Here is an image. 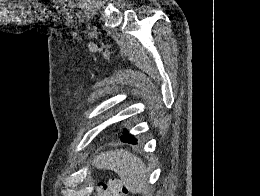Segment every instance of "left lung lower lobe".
Here are the masks:
<instances>
[{
    "instance_id": "left-lung-lower-lobe-1",
    "label": "left lung lower lobe",
    "mask_w": 260,
    "mask_h": 196,
    "mask_svg": "<svg viewBox=\"0 0 260 196\" xmlns=\"http://www.w3.org/2000/svg\"><path fill=\"white\" fill-rule=\"evenodd\" d=\"M125 135L121 137L123 142L136 144L137 140L133 137V135L129 134L126 130H124Z\"/></svg>"
}]
</instances>
